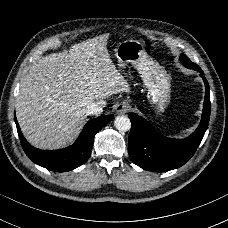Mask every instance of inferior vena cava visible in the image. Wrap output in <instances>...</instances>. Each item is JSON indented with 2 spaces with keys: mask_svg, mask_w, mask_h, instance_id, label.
<instances>
[{
  "mask_svg": "<svg viewBox=\"0 0 228 228\" xmlns=\"http://www.w3.org/2000/svg\"><path fill=\"white\" fill-rule=\"evenodd\" d=\"M103 112V108L100 107L97 103H93L86 108L87 115H96L101 114Z\"/></svg>",
  "mask_w": 228,
  "mask_h": 228,
  "instance_id": "602c4592",
  "label": "inferior vena cava"
}]
</instances>
